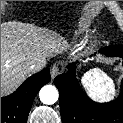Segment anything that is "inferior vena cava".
Returning a JSON list of instances; mask_svg holds the SVG:
<instances>
[{
	"label": "inferior vena cava",
	"instance_id": "inferior-vena-cava-1",
	"mask_svg": "<svg viewBox=\"0 0 123 123\" xmlns=\"http://www.w3.org/2000/svg\"><path fill=\"white\" fill-rule=\"evenodd\" d=\"M45 63H31L27 68L29 71H39L44 67Z\"/></svg>",
	"mask_w": 123,
	"mask_h": 123
}]
</instances>
